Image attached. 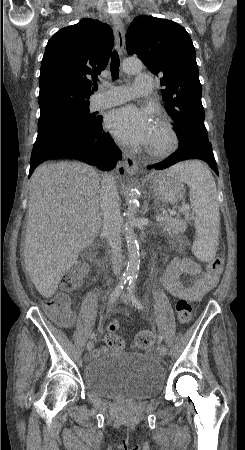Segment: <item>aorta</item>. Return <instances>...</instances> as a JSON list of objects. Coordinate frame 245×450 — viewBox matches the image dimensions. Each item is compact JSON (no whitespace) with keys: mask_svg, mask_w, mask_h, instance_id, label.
Returning a JSON list of instances; mask_svg holds the SVG:
<instances>
[{"mask_svg":"<svg viewBox=\"0 0 245 450\" xmlns=\"http://www.w3.org/2000/svg\"><path fill=\"white\" fill-rule=\"evenodd\" d=\"M142 62L135 58H126L122 62V69L125 73H136L142 69ZM138 189L132 188L129 194L128 209L126 211V224L124 228L125 240L128 253V264L126 269V275L129 278H135L137 276L140 265V253L139 244L136 234L133 229V220L137 211L138 202Z\"/></svg>","mask_w":245,"mask_h":450,"instance_id":"aorta-1","label":"aorta"}]
</instances>
